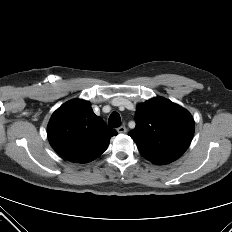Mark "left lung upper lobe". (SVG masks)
<instances>
[{
  "instance_id": "left-lung-upper-lobe-1",
  "label": "left lung upper lobe",
  "mask_w": 232,
  "mask_h": 232,
  "mask_svg": "<svg viewBox=\"0 0 232 232\" xmlns=\"http://www.w3.org/2000/svg\"><path fill=\"white\" fill-rule=\"evenodd\" d=\"M136 128L128 133L140 153L152 163L164 165L178 159L188 148L195 124L191 114L162 97L139 104Z\"/></svg>"
}]
</instances>
